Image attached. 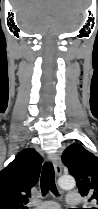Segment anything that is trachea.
Instances as JSON below:
<instances>
[{"instance_id": "trachea-1", "label": "trachea", "mask_w": 98, "mask_h": 209, "mask_svg": "<svg viewBox=\"0 0 98 209\" xmlns=\"http://www.w3.org/2000/svg\"><path fill=\"white\" fill-rule=\"evenodd\" d=\"M40 183L42 194L51 191L53 194L58 195V190L55 185L54 168L51 162H46L43 165Z\"/></svg>"}]
</instances>
